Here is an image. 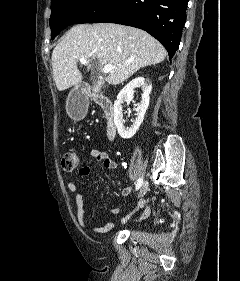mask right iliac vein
<instances>
[{
	"instance_id": "obj_1",
	"label": "right iliac vein",
	"mask_w": 240,
	"mask_h": 281,
	"mask_svg": "<svg viewBox=\"0 0 240 281\" xmlns=\"http://www.w3.org/2000/svg\"><path fill=\"white\" fill-rule=\"evenodd\" d=\"M147 190H148V183L144 182L141 185V188H140L139 193H138V197H143L146 194Z\"/></svg>"
}]
</instances>
